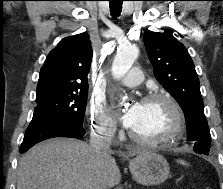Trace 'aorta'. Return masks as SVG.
<instances>
[{"label": "aorta", "mask_w": 223, "mask_h": 189, "mask_svg": "<svg viewBox=\"0 0 223 189\" xmlns=\"http://www.w3.org/2000/svg\"><path fill=\"white\" fill-rule=\"evenodd\" d=\"M138 54L139 50L136 46L128 45L119 48L112 63L113 77L122 78L130 70Z\"/></svg>", "instance_id": "1"}]
</instances>
